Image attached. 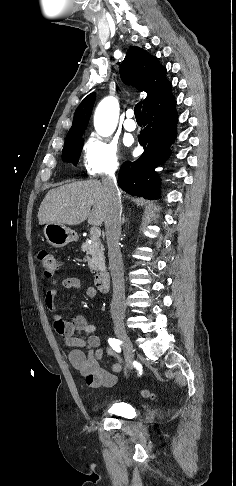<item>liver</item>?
Masks as SVG:
<instances>
[{
    "label": "liver",
    "mask_w": 236,
    "mask_h": 486,
    "mask_svg": "<svg viewBox=\"0 0 236 486\" xmlns=\"http://www.w3.org/2000/svg\"><path fill=\"white\" fill-rule=\"evenodd\" d=\"M107 209V191L100 181H77L51 189L39 207L38 220L40 225H78L88 219L89 224L99 226Z\"/></svg>",
    "instance_id": "6515ba94"
}]
</instances>
